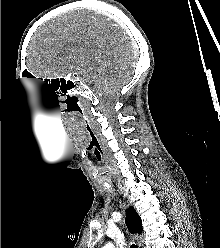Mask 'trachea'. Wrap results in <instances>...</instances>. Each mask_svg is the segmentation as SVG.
<instances>
[{
    "label": "trachea",
    "mask_w": 220,
    "mask_h": 248,
    "mask_svg": "<svg viewBox=\"0 0 220 248\" xmlns=\"http://www.w3.org/2000/svg\"><path fill=\"white\" fill-rule=\"evenodd\" d=\"M130 248H138V247H137V245L132 244V245L130 246Z\"/></svg>",
    "instance_id": "3493384b"
}]
</instances>
